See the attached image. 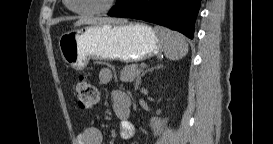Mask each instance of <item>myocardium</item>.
<instances>
[{"label": "myocardium", "instance_id": "1", "mask_svg": "<svg viewBox=\"0 0 273 144\" xmlns=\"http://www.w3.org/2000/svg\"><path fill=\"white\" fill-rule=\"evenodd\" d=\"M69 3L72 0H67ZM117 0H107L102 6L94 9H75L71 4H69L70 9L80 15H92V14H101L109 12L116 4Z\"/></svg>", "mask_w": 273, "mask_h": 144}]
</instances>
